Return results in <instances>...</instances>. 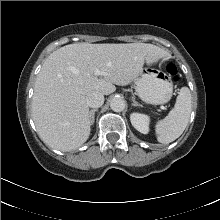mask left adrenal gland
Instances as JSON below:
<instances>
[{"mask_svg":"<svg viewBox=\"0 0 220 220\" xmlns=\"http://www.w3.org/2000/svg\"><path fill=\"white\" fill-rule=\"evenodd\" d=\"M133 106H141L138 102H136L135 100H133Z\"/></svg>","mask_w":220,"mask_h":220,"instance_id":"a2214340","label":"left adrenal gland"}]
</instances>
